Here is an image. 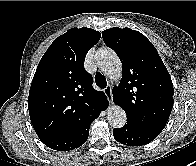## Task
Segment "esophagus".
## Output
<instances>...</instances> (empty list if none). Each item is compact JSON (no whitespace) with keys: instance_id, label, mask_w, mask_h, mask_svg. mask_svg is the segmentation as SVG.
Masks as SVG:
<instances>
[{"instance_id":"esophagus-1","label":"esophagus","mask_w":196,"mask_h":166,"mask_svg":"<svg viewBox=\"0 0 196 166\" xmlns=\"http://www.w3.org/2000/svg\"><path fill=\"white\" fill-rule=\"evenodd\" d=\"M104 93L106 94L110 103H112V88L110 85L104 88Z\"/></svg>"}]
</instances>
